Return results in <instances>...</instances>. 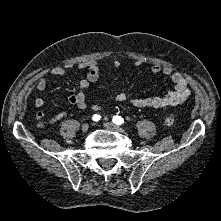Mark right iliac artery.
I'll list each match as a JSON object with an SVG mask.
<instances>
[{
	"label": "right iliac artery",
	"mask_w": 221,
	"mask_h": 221,
	"mask_svg": "<svg viewBox=\"0 0 221 221\" xmlns=\"http://www.w3.org/2000/svg\"><path fill=\"white\" fill-rule=\"evenodd\" d=\"M100 118H101V116H100V115H97V114L93 115V117H92V119H93L94 121H99Z\"/></svg>",
	"instance_id": "1"
}]
</instances>
